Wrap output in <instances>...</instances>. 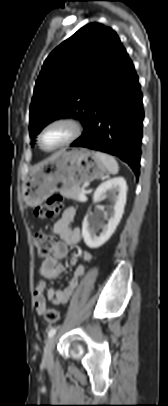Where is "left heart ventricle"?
Returning <instances> with one entry per match:
<instances>
[{"label": "left heart ventricle", "instance_id": "1", "mask_svg": "<svg viewBox=\"0 0 168 406\" xmlns=\"http://www.w3.org/2000/svg\"><path fill=\"white\" fill-rule=\"evenodd\" d=\"M69 134L70 129L65 125L51 126L42 134V144L46 148H54L63 143Z\"/></svg>", "mask_w": 168, "mask_h": 406}]
</instances>
